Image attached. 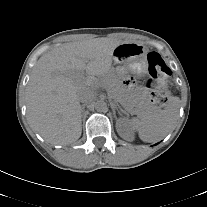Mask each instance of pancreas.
Masks as SVG:
<instances>
[{
  "mask_svg": "<svg viewBox=\"0 0 207 207\" xmlns=\"http://www.w3.org/2000/svg\"><path fill=\"white\" fill-rule=\"evenodd\" d=\"M104 85L107 91L111 93L113 96L116 97L119 94L120 87L116 80L108 79L104 81ZM126 106L133 109L137 115L142 117L149 116L155 111V107L152 105L151 102L142 99H137L134 103L128 104Z\"/></svg>",
  "mask_w": 207,
  "mask_h": 207,
  "instance_id": "1",
  "label": "pancreas"
}]
</instances>
